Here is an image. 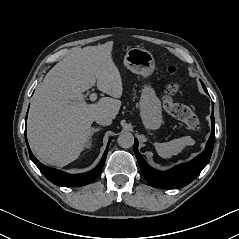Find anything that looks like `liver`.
Listing matches in <instances>:
<instances>
[{
	"mask_svg": "<svg viewBox=\"0 0 239 239\" xmlns=\"http://www.w3.org/2000/svg\"><path fill=\"white\" fill-rule=\"evenodd\" d=\"M113 42L76 48L58 62L35 91L27 134L32 150L44 163L63 167L76 160L91 135L94 117L103 111L115 118L122 79L112 58ZM111 97L96 104L83 94L95 85Z\"/></svg>",
	"mask_w": 239,
	"mask_h": 239,
	"instance_id": "liver-1",
	"label": "liver"
}]
</instances>
